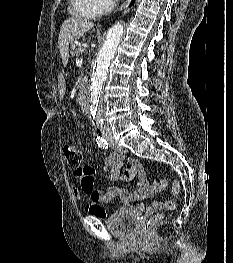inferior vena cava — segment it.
Returning <instances> with one entry per match:
<instances>
[{
    "mask_svg": "<svg viewBox=\"0 0 233 263\" xmlns=\"http://www.w3.org/2000/svg\"><path fill=\"white\" fill-rule=\"evenodd\" d=\"M104 125V128H107V125L106 124H103Z\"/></svg>",
    "mask_w": 233,
    "mask_h": 263,
    "instance_id": "inferior-vena-cava-1",
    "label": "inferior vena cava"
}]
</instances>
